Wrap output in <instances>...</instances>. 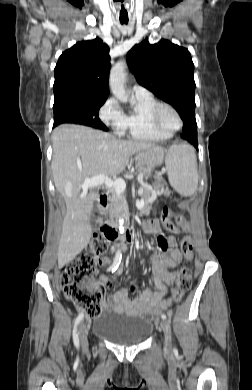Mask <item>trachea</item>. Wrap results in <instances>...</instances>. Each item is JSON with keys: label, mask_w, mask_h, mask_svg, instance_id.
Returning <instances> with one entry per match:
<instances>
[{"label": "trachea", "mask_w": 252, "mask_h": 390, "mask_svg": "<svg viewBox=\"0 0 252 390\" xmlns=\"http://www.w3.org/2000/svg\"><path fill=\"white\" fill-rule=\"evenodd\" d=\"M120 22H121V24H127L128 23V19H120Z\"/></svg>", "instance_id": "3493384b"}]
</instances>
